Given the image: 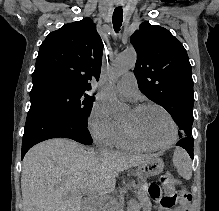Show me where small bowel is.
<instances>
[{
  "label": "small bowel",
  "instance_id": "obj_1",
  "mask_svg": "<svg viewBox=\"0 0 219 211\" xmlns=\"http://www.w3.org/2000/svg\"><path fill=\"white\" fill-rule=\"evenodd\" d=\"M152 199L159 204V211H190V196L180 202L177 208H174L175 202L167 196H163L159 191L151 194Z\"/></svg>",
  "mask_w": 219,
  "mask_h": 211
}]
</instances>
